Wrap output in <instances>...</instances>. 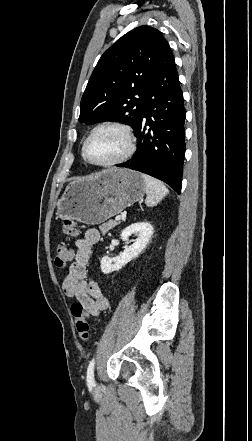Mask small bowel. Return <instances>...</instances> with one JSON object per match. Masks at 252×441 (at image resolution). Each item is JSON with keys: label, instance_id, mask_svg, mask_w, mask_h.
Returning <instances> with one entry per match:
<instances>
[{"label": "small bowel", "instance_id": "1", "mask_svg": "<svg viewBox=\"0 0 252 441\" xmlns=\"http://www.w3.org/2000/svg\"><path fill=\"white\" fill-rule=\"evenodd\" d=\"M99 239L98 230L88 229L84 236L76 241L77 250L62 283L64 294L76 298L84 307L86 316H98L109 306V301L101 292L99 285L87 278V266L92 248Z\"/></svg>", "mask_w": 252, "mask_h": 441}]
</instances>
